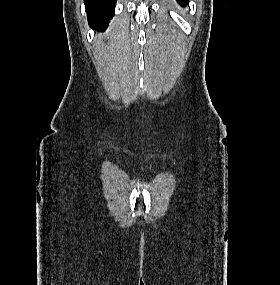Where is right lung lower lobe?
<instances>
[{"mask_svg":"<svg viewBox=\"0 0 280 285\" xmlns=\"http://www.w3.org/2000/svg\"><path fill=\"white\" fill-rule=\"evenodd\" d=\"M91 28L104 31L115 11L116 0H84Z\"/></svg>","mask_w":280,"mask_h":285,"instance_id":"1","label":"right lung lower lobe"}]
</instances>
